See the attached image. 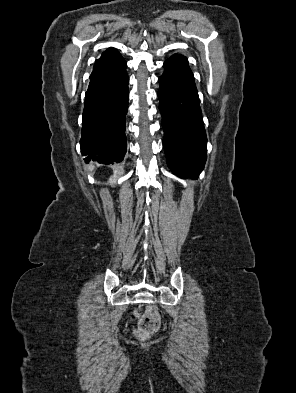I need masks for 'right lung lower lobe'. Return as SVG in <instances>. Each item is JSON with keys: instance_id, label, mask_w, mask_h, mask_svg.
I'll return each mask as SVG.
<instances>
[{"instance_id": "right-lung-lower-lobe-1", "label": "right lung lower lobe", "mask_w": 296, "mask_h": 393, "mask_svg": "<svg viewBox=\"0 0 296 393\" xmlns=\"http://www.w3.org/2000/svg\"><path fill=\"white\" fill-rule=\"evenodd\" d=\"M126 62L114 48L95 61L85 94L80 148L85 162H121L126 153Z\"/></svg>"}]
</instances>
